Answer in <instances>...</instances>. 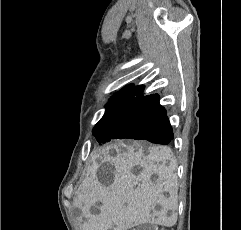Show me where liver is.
Here are the masks:
<instances>
[{"label": "liver", "mask_w": 241, "mask_h": 230, "mask_svg": "<svg viewBox=\"0 0 241 230\" xmlns=\"http://www.w3.org/2000/svg\"><path fill=\"white\" fill-rule=\"evenodd\" d=\"M126 148V152L121 150ZM99 150L94 159L81 192L73 199L75 207L82 211L86 221L82 230H110L117 225V230H126L142 223H156L171 227L177 221V197L173 190L177 183V162L172 150L164 146H150L145 150L139 146L123 143ZM140 166L139 176L132 173L134 166ZM105 167L113 177L110 186H104L98 178L99 168ZM158 178L152 181V175ZM169 190V198L163 191ZM101 203L100 206H97ZM156 205L161 210H156ZM97 207L99 213H93ZM171 214L168 215V212Z\"/></svg>", "instance_id": "1"}]
</instances>
